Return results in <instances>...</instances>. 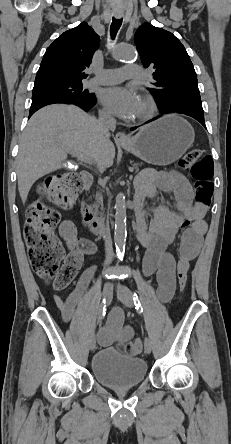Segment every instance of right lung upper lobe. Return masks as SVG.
<instances>
[{
	"label": "right lung upper lobe",
	"mask_w": 231,
	"mask_h": 444,
	"mask_svg": "<svg viewBox=\"0 0 231 444\" xmlns=\"http://www.w3.org/2000/svg\"><path fill=\"white\" fill-rule=\"evenodd\" d=\"M100 43L99 36L86 23L64 32L46 50L34 88L55 83H82Z\"/></svg>",
	"instance_id": "right-lung-upper-lobe-1"
}]
</instances>
